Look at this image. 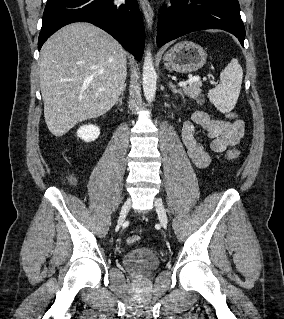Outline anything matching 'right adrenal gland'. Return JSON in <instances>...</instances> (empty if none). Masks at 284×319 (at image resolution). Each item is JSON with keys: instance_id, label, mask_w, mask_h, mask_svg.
I'll use <instances>...</instances> for the list:
<instances>
[{"instance_id": "2a0ac1e0", "label": "right adrenal gland", "mask_w": 284, "mask_h": 319, "mask_svg": "<svg viewBox=\"0 0 284 319\" xmlns=\"http://www.w3.org/2000/svg\"><path fill=\"white\" fill-rule=\"evenodd\" d=\"M125 89H126V84L123 86V89H122V91H121V93H120V97H119L118 101L116 102V103H119L120 105H122V101H123V98H124V91H125Z\"/></svg>"}]
</instances>
